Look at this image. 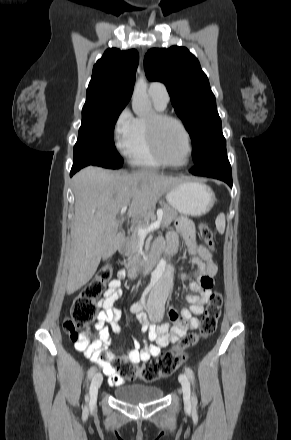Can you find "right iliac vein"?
I'll return each mask as SVG.
<instances>
[{"mask_svg":"<svg viewBox=\"0 0 291 440\" xmlns=\"http://www.w3.org/2000/svg\"><path fill=\"white\" fill-rule=\"evenodd\" d=\"M102 381H103V377L100 372H97L93 375L92 380H91V384H90V388H89V396H90L89 405L90 406H94L96 404L98 390L102 384Z\"/></svg>","mask_w":291,"mask_h":440,"instance_id":"obj_1","label":"right iliac vein"}]
</instances>
